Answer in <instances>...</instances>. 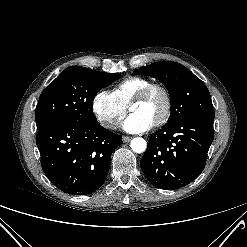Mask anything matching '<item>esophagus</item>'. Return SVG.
Returning <instances> with one entry per match:
<instances>
[{
  "mask_svg": "<svg viewBox=\"0 0 247 247\" xmlns=\"http://www.w3.org/2000/svg\"><path fill=\"white\" fill-rule=\"evenodd\" d=\"M122 140H123L124 143H126V142H129L131 140V137L123 136Z\"/></svg>",
  "mask_w": 247,
  "mask_h": 247,
  "instance_id": "esophagus-1",
  "label": "esophagus"
}]
</instances>
